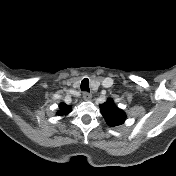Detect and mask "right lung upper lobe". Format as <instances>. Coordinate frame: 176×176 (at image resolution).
<instances>
[{
	"mask_svg": "<svg viewBox=\"0 0 176 176\" xmlns=\"http://www.w3.org/2000/svg\"><path fill=\"white\" fill-rule=\"evenodd\" d=\"M59 108H60V111L57 113L59 116L66 115L71 111L70 106L64 103H61Z\"/></svg>",
	"mask_w": 176,
	"mask_h": 176,
	"instance_id": "right-lung-upper-lobe-1",
	"label": "right lung upper lobe"
}]
</instances>
